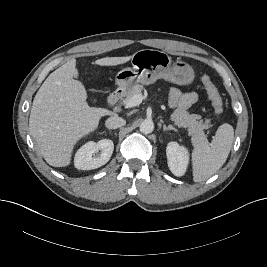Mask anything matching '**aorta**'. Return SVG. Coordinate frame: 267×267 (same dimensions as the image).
<instances>
[{"label":"aorta","instance_id":"obj_1","mask_svg":"<svg viewBox=\"0 0 267 267\" xmlns=\"http://www.w3.org/2000/svg\"><path fill=\"white\" fill-rule=\"evenodd\" d=\"M154 130V123L151 119H145L140 124V131L143 134H149Z\"/></svg>","mask_w":267,"mask_h":267}]
</instances>
